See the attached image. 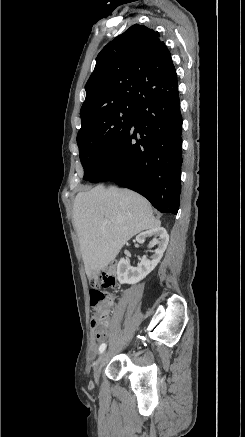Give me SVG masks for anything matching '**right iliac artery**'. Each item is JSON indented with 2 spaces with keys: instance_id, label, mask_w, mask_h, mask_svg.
I'll use <instances>...</instances> for the list:
<instances>
[{
  "instance_id": "1",
  "label": "right iliac artery",
  "mask_w": 245,
  "mask_h": 437,
  "mask_svg": "<svg viewBox=\"0 0 245 437\" xmlns=\"http://www.w3.org/2000/svg\"><path fill=\"white\" fill-rule=\"evenodd\" d=\"M105 348H106V344L105 343L101 344L99 347V353H102L105 350Z\"/></svg>"
}]
</instances>
